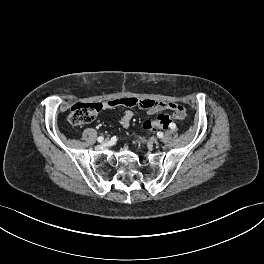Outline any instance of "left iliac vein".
I'll use <instances>...</instances> for the list:
<instances>
[{"label": "left iliac vein", "mask_w": 264, "mask_h": 264, "mask_svg": "<svg viewBox=\"0 0 264 264\" xmlns=\"http://www.w3.org/2000/svg\"><path fill=\"white\" fill-rule=\"evenodd\" d=\"M153 142H154L155 145H159L160 144V141L159 140L153 139Z\"/></svg>", "instance_id": "obj_1"}]
</instances>
